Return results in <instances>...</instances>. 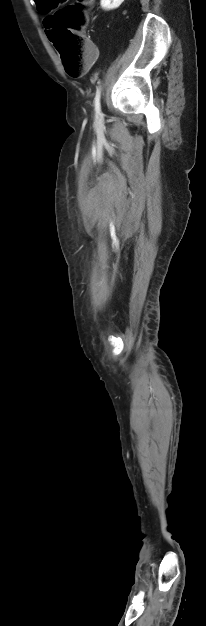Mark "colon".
I'll use <instances>...</instances> for the list:
<instances>
[{"label":"colon","instance_id":"obj_1","mask_svg":"<svg viewBox=\"0 0 206 626\" xmlns=\"http://www.w3.org/2000/svg\"><path fill=\"white\" fill-rule=\"evenodd\" d=\"M66 0H42L40 9L56 10L47 20L51 28L50 39L59 52L67 73L79 76L88 63L90 53L85 46L83 28L87 23V9L94 0H75L65 5Z\"/></svg>","mask_w":206,"mask_h":626}]
</instances>
